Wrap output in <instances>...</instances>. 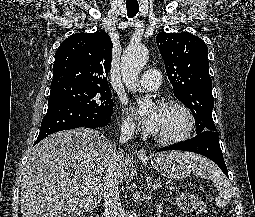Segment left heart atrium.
<instances>
[{
	"label": "left heart atrium",
	"instance_id": "left-heart-atrium-1",
	"mask_svg": "<svg viewBox=\"0 0 255 217\" xmlns=\"http://www.w3.org/2000/svg\"><path fill=\"white\" fill-rule=\"evenodd\" d=\"M161 107H155L146 116L141 118L144 131L150 134H156L159 127Z\"/></svg>",
	"mask_w": 255,
	"mask_h": 217
}]
</instances>
